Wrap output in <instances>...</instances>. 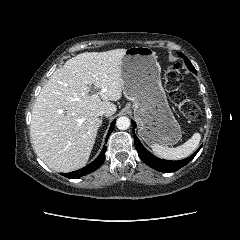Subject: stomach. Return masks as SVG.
Wrapping results in <instances>:
<instances>
[{"label": "stomach", "instance_id": "stomach-1", "mask_svg": "<svg viewBox=\"0 0 240 240\" xmlns=\"http://www.w3.org/2000/svg\"><path fill=\"white\" fill-rule=\"evenodd\" d=\"M123 93L132 102L139 135L146 144L174 145L181 127L169 107L155 52L149 47H131L122 59Z\"/></svg>", "mask_w": 240, "mask_h": 240}]
</instances>
